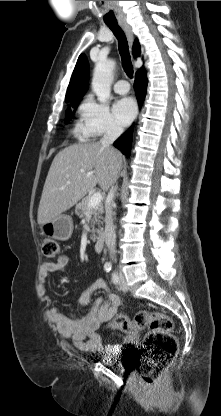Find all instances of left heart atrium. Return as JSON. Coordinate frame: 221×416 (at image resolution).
<instances>
[{
    "label": "left heart atrium",
    "mask_w": 221,
    "mask_h": 416,
    "mask_svg": "<svg viewBox=\"0 0 221 416\" xmlns=\"http://www.w3.org/2000/svg\"><path fill=\"white\" fill-rule=\"evenodd\" d=\"M113 110L119 123L126 126L134 119L137 106L132 98L124 97L115 102Z\"/></svg>",
    "instance_id": "1"
}]
</instances>
